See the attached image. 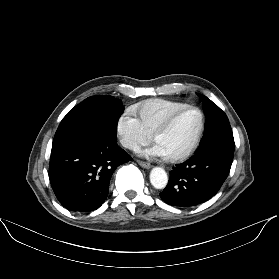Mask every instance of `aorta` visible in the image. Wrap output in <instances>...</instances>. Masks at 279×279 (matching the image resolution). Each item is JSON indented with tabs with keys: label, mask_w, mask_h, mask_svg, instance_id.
<instances>
[{
	"label": "aorta",
	"mask_w": 279,
	"mask_h": 279,
	"mask_svg": "<svg viewBox=\"0 0 279 279\" xmlns=\"http://www.w3.org/2000/svg\"><path fill=\"white\" fill-rule=\"evenodd\" d=\"M150 182L156 189H164L168 183V176L161 167H154L150 172Z\"/></svg>",
	"instance_id": "obj_1"
}]
</instances>
